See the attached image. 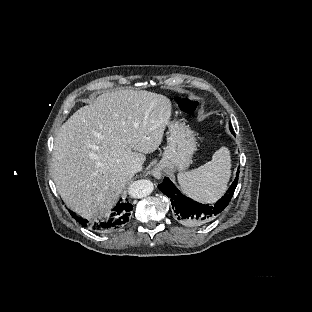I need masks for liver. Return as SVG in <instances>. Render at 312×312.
Listing matches in <instances>:
<instances>
[{
  "mask_svg": "<svg viewBox=\"0 0 312 312\" xmlns=\"http://www.w3.org/2000/svg\"><path fill=\"white\" fill-rule=\"evenodd\" d=\"M171 102L146 90L106 92L77 110L54 139L50 173L65 204L82 218L108 216L135 161L161 144Z\"/></svg>",
  "mask_w": 312,
  "mask_h": 312,
  "instance_id": "liver-1",
  "label": "liver"
}]
</instances>
